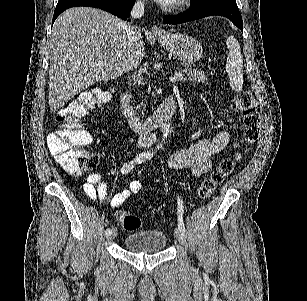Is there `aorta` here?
Returning a JSON list of instances; mask_svg holds the SVG:
<instances>
[{
	"label": "aorta",
	"mask_w": 307,
	"mask_h": 301,
	"mask_svg": "<svg viewBox=\"0 0 307 301\" xmlns=\"http://www.w3.org/2000/svg\"><path fill=\"white\" fill-rule=\"evenodd\" d=\"M160 128L163 134L161 142H163V140H166L167 136H169L170 132H172L173 126H171L170 122H161ZM160 146L161 144H157V148H160Z\"/></svg>",
	"instance_id": "1"
}]
</instances>
